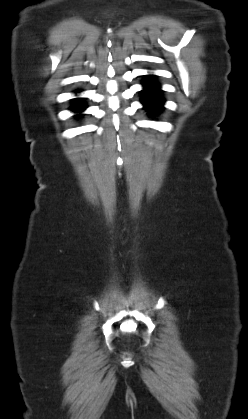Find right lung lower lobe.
<instances>
[{
  "label": "right lung lower lobe",
  "instance_id": "98d812e1",
  "mask_svg": "<svg viewBox=\"0 0 248 419\" xmlns=\"http://www.w3.org/2000/svg\"><path fill=\"white\" fill-rule=\"evenodd\" d=\"M83 109H85V105L81 103L80 101H76L71 108V110L76 111V112L82 111Z\"/></svg>",
  "mask_w": 248,
  "mask_h": 419
}]
</instances>
